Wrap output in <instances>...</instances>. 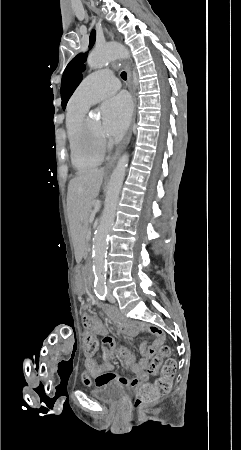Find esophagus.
Listing matches in <instances>:
<instances>
[{"label":"esophagus","instance_id":"obj_1","mask_svg":"<svg viewBox=\"0 0 241 450\" xmlns=\"http://www.w3.org/2000/svg\"><path fill=\"white\" fill-rule=\"evenodd\" d=\"M110 36H111V38H113L112 35H110ZM124 67H125V69L127 71V75H128V87H129V89L132 93V97H133V102H134L133 116H134V120H135L136 105H137L135 88L133 85L132 74H131L130 68L126 64L124 65ZM131 135H132V127H130V129H129L123 145H121V147L116 151V153L113 155V157L110 159V161L106 164V166L104 168L111 169L112 167H114L117 158L120 156V154L123 152V150L127 147L128 143L130 142Z\"/></svg>","mask_w":241,"mask_h":450}]
</instances>
